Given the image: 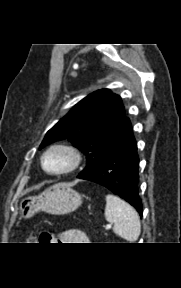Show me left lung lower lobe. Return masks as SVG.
Wrapping results in <instances>:
<instances>
[{"mask_svg":"<svg viewBox=\"0 0 181 288\" xmlns=\"http://www.w3.org/2000/svg\"><path fill=\"white\" fill-rule=\"evenodd\" d=\"M138 166L137 143L132 133L131 123L128 121L118 143L91 173L79 178L108 188L135 207L142 216V203L138 194Z\"/></svg>","mask_w":181,"mask_h":288,"instance_id":"0a47b994","label":"left lung lower lobe"}]
</instances>
